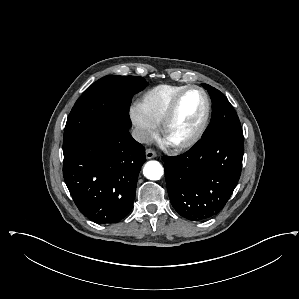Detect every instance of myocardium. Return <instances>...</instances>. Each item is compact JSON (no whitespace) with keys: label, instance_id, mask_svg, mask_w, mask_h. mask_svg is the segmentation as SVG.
<instances>
[{"label":"myocardium","instance_id":"obj_1","mask_svg":"<svg viewBox=\"0 0 299 299\" xmlns=\"http://www.w3.org/2000/svg\"><path fill=\"white\" fill-rule=\"evenodd\" d=\"M190 91H198L202 94V96L204 98L205 108H204V113H203L202 119H201L198 127L195 129V131L189 137H187L186 139H184L183 141H180V142H172L168 139L169 128L174 120V117H175L177 111H178L179 104H180L182 98L184 97V95L186 93H188ZM210 112H211V102H210V98H209L207 92L199 86H194V85L186 86L184 89H182L175 95V97L173 98L172 102L170 103V105L160 123V132H161L163 141L165 142L166 145H168L169 147H171L174 150H185V149L192 147L194 144H196L199 141V139L204 134V132L208 126Z\"/></svg>","mask_w":299,"mask_h":299}]
</instances>
